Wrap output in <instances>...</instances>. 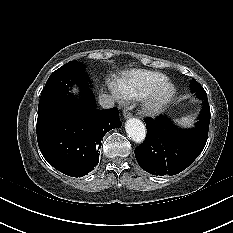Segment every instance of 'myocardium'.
Returning <instances> with one entry per match:
<instances>
[{
	"label": "myocardium",
	"mask_w": 233,
	"mask_h": 233,
	"mask_svg": "<svg viewBox=\"0 0 233 233\" xmlns=\"http://www.w3.org/2000/svg\"><path fill=\"white\" fill-rule=\"evenodd\" d=\"M176 91V86L170 80L164 79L159 82L142 97V113L147 116L159 114L173 100Z\"/></svg>",
	"instance_id": "1"
}]
</instances>
